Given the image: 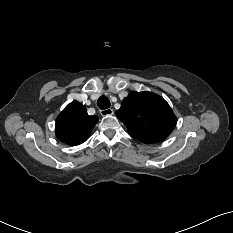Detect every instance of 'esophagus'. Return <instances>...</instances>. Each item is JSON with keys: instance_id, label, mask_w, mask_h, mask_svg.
Returning <instances> with one entry per match:
<instances>
[{"instance_id": "esophagus-1", "label": "esophagus", "mask_w": 233, "mask_h": 233, "mask_svg": "<svg viewBox=\"0 0 233 233\" xmlns=\"http://www.w3.org/2000/svg\"><path fill=\"white\" fill-rule=\"evenodd\" d=\"M113 113H114V111L111 108L103 109V110L100 111V114L102 116H110V115H113Z\"/></svg>"}]
</instances>
